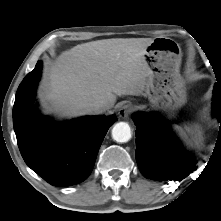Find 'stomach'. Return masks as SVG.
Segmentation results:
<instances>
[{
    "label": "stomach",
    "instance_id": "0dacf381",
    "mask_svg": "<svg viewBox=\"0 0 221 221\" xmlns=\"http://www.w3.org/2000/svg\"><path fill=\"white\" fill-rule=\"evenodd\" d=\"M182 51L168 37H158L147 46L144 60L150 70L145 95L152 107L171 116L186 101L184 81L180 75Z\"/></svg>",
    "mask_w": 221,
    "mask_h": 221
}]
</instances>
